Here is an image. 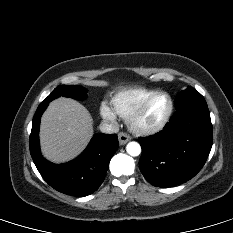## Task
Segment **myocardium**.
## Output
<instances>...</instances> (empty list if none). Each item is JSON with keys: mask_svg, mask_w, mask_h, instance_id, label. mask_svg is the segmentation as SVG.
I'll return each instance as SVG.
<instances>
[{"mask_svg": "<svg viewBox=\"0 0 233 233\" xmlns=\"http://www.w3.org/2000/svg\"><path fill=\"white\" fill-rule=\"evenodd\" d=\"M159 95H164L168 98L169 100V109L164 116V118L155 126L152 127H141L138 125V119L146 109V107L149 105V103L157 96ZM174 110V102L172 97L170 96L169 93L165 91H156L153 94L149 95L146 97L134 110L133 112L128 116L127 118V125L129 129L137 134V135H142V136H149V135H154L161 130L164 129V127L168 124Z\"/></svg>", "mask_w": 233, "mask_h": 233, "instance_id": "f54148a6", "label": "myocardium"}]
</instances>
